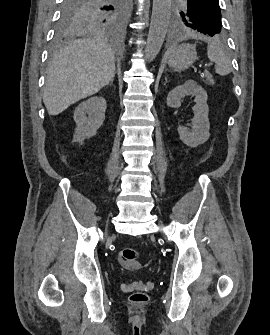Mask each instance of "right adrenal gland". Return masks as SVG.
Masks as SVG:
<instances>
[{"mask_svg":"<svg viewBox=\"0 0 270 335\" xmlns=\"http://www.w3.org/2000/svg\"><path fill=\"white\" fill-rule=\"evenodd\" d=\"M111 84H113V80H111V82H110L109 86H111Z\"/></svg>","mask_w":270,"mask_h":335,"instance_id":"obj_1","label":"right adrenal gland"}]
</instances>
